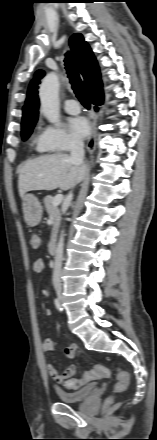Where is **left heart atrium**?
<instances>
[{"instance_id":"left-heart-atrium-1","label":"left heart atrium","mask_w":157,"mask_h":440,"mask_svg":"<svg viewBox=\"0 0 157 440\" xmlns=\"http://www.w3.org/2000/svg\"><path fill=\"white\" fill-rule=\"evenodd\" d=\"M68 126L71 133L79 139H86L90 135V125L83 117L69 118Z\"/></svg>"}]
</instances>
